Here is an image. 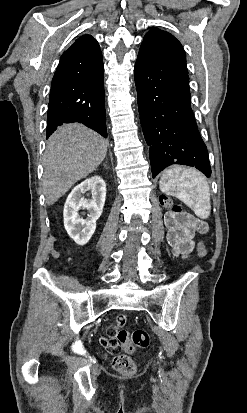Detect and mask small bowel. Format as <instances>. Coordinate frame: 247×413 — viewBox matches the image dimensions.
<instances>
[{"label":"small bowel","mask_w":247,"mask_h":413,"mask_svg":"<svg viewBox=\"0 0 247 413\" xmlns=\"http://www.w3.org/2000/svg\"><path fill=\"white\" fill-rule=\"evenodd\" d=\"M165 222L168 228V243L173 252L182 257H187L194 249L195 243L193 238L195 232H207L206 223L195 218H191V220L186 223L178 224L175 215L168 213ZM127 316L128 315H117L115 318L116 323L109 324V329L105 331V334L100 336L101 347L103 349H109L111 355H118L120 353V348L114 346L112 338L116 336V331H122L124 324H128L126 322Z\"/></svg>","instance_id":"obj_1"}]
</instances>
